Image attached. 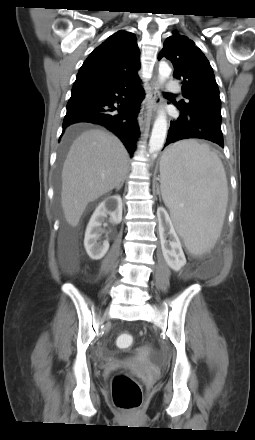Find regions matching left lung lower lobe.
I'll return each mask as SVG.
<instances>
[{
  "label": "left lung lower lobe",
  "mask_w": 255,
  "mask_h": 440,
  "mask_svg": "<svg viewBox=\"0 0 255 440\" xmlns=\"http://www.w3.org/2000/svg\"><path fill=\"white\" fill-rule=\"evenodd\" d=\"M179 110V118L171 121L164 147L170 143L188 138L205 139L224 147L221 116L203 111L183 110L181 108Z\"/></svg>",
  "instance_id": "obj_1"
}]
</instances>
